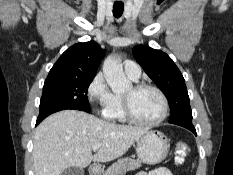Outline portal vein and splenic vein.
Returning a JSON list of instances; mask_svg holds the SVG:
<instances>
[{
	"instance_id": "1",
	"label": "portal vein and splenic vein",
	"mask_w": 233,
	"mask_h": 175,
	"mask_svg": "<svg viewBox=\"0 0 233 175\" xmlns=\"http://www.w3.org/2000/svg\"><path fill=\"white\" fill-rule=\"evenodd\" d=\"M100 147H101V144H94V145L92 146V149H93L94 151H96V150H98Z\"/></svg>"
}]
</instances>
